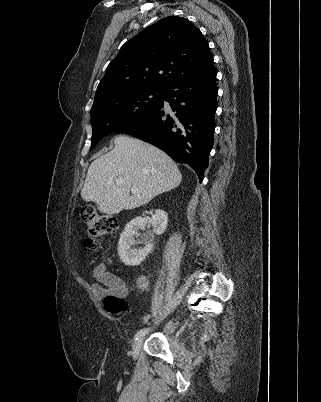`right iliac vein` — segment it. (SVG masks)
Returning a JSON list of instances; mask_svg holds the SVG:
<instances>
[{
	"mask_svg": "<svg viewBox=\"0 0 321 402\" xmlns=\"http://www.w3.org/2000/svg\"><path fill=\"white\" fill-rule=\"evenodd\" d=\"M143 340H144V337H139L134 341V343L132 345V357L134 359L138 357Z\"/></svg>",
	"mask_w": 321,
	"mask_h": 402,
	"instance_id": "obj_1",
	"label": "right iliac vein"
}]
</instances>
